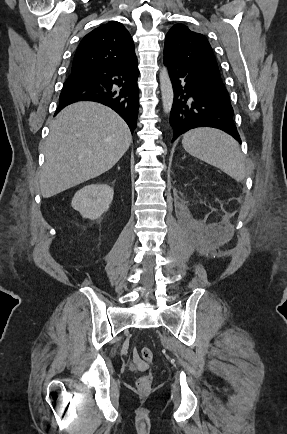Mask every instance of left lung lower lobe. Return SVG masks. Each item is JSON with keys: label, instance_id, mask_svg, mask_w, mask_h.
I'll use <instances>...</instances> for the list:
<instances>
[{"label": "left lung lower lobe", "instance_id": "left-lung-lower-lobe-1", "mask_svg": "<svg viewBox=\"0 0 287 434\" xmlns=\"http://www.w3.org/2000/svg\"><path fill=\"white\" fill-rule=\"evenodd\" d=\"M174 101L170 113L172 142L196 127L218 128L241 139L233 121V108L221 77L200 67L164 58Z\"/></svg>", "mask_w": 287, "mask_h": 434}]
</instances>
